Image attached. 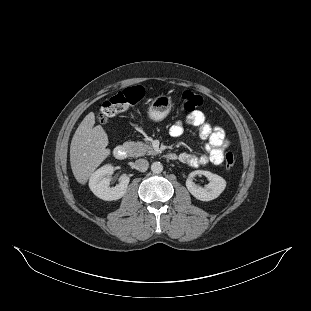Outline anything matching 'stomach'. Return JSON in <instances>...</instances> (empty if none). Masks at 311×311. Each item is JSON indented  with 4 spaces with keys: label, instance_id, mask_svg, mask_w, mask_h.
<instances>
[{
    "label": "stomach",
    "instance_id": "0dacf381",
    "mask_svg": "<svg viewBox=\"0 0 311 311\" xmlns=\"http://www.w3.org/2000/svg\"><path fill=\"white\" fill-rule=\"evenodd\" d=\"M171 109L170 98L160 96L155 98L149 108V116L151 119L160 121L165 118Z\"/></svg>",
    "mask_w": 311,
    "mask_h": 311
}]
</instances>
